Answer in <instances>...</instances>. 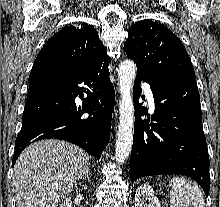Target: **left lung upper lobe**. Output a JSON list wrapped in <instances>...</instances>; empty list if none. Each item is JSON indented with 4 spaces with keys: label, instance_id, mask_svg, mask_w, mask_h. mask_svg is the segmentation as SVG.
<instances>
[{
    "label": "left lung upper lobe",
    "instance_id": "left-lung-upper-lobe-1",
    "mask_svg": "<svg viewBox=\"0 0 220 207\" xmlns=\"http://www.w3.org/2000/svg\"><path fill=\"white\" fill-rule=\"evenodd\" d=\"M128 58L138 72L158 79L170 74L195 78L191 60L181 40L164 25L151 19L138 21L128 31L124 43Z\"/></svg>",
    "mask_w": 220,
    "mask_h": 207
}]
</instances>
